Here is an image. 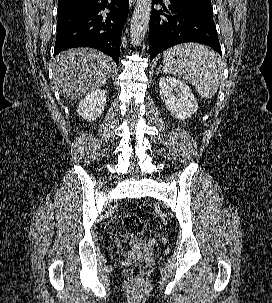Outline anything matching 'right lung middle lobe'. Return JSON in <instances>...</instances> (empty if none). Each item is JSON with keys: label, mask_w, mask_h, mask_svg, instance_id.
Instances as JSON below:
<instances>
[{"label": "right lung middle lobe", "mask_w": 272, "mask_h": 303, "mask_svg": "<svg viewBox=\"0 0 272 303\" xmlns=\"http://www.w3.org/2000/svg\"><path fill=\"white\" fill-rule=\"evenodd\" d=\"M64 10H67V9H64V8H58V12H61V11H64Z\"/></svg>", "instance_id": "dd1d6c3e"}]
</instances>
